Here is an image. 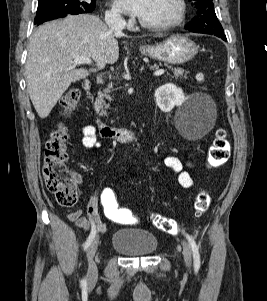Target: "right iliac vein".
<instances>
[{"label":"right iliac vein","mask_w":267,"mask_h":301,"mask_svg":"<svg viewBox=\"0 0 267 301\" xmlns=\"http://www.w3.org/2000/svg\"><path fill=\"white\" fill-rule=\"evenodd\" d=\"M98 242H99V237L96 236L91 244L88 247L87 250V260H88V272H87V278L89 282L94 281L97 278V266L94 261V257L98 248Z\"/></svg>","instance_id":"63e3f726"}]
</instances>
